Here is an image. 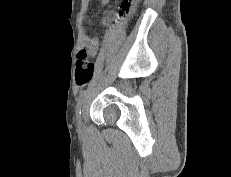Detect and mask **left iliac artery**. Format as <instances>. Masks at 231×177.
I'll return each instance as SVG.
<instances>
[{
  "mask_svg": "<svg viewBox=\"0 0 231 177\" xmlns=\"http://www.w3.org/2000/svg\"><path fill=\"white\" fill-rule=\"evenodd\" d=\"M86 90H83L80 92L78 99H77V104H76V113L79 114L81 113V107L84 102L85 96H86Z\"/></svg>",
  "mask_w": 231,
  "mask_h": 177,
  "instance_id": "44dca946",
  "label": "left iliac artery"
}]
</instances>
